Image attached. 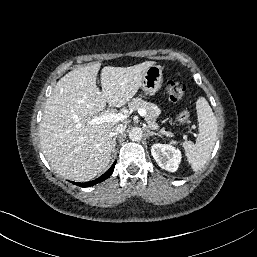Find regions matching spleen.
Returning <instances> with one entry per match:
<instances>
[{
  "label": "spleen",
  "mask_w": 257,
  "mask_h": 257,
  "mask_svg": "<svg viewBox=\"0 0 257 257\" xmlns=\"http://www.w3.org/2000/svg\"><path fill=\"white\" fill-rule=\"evenodd\" d=\"M196 110L199 123L196 143L191 141L182 143L193 171H199L206 164L214 148L218 132L217 118L204 97L198 98ZM171 143L176 144L177 142L172 141Z\"/></svg>",
  "instance_id": "1"
}]
</instances>
